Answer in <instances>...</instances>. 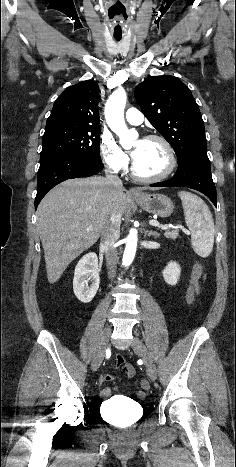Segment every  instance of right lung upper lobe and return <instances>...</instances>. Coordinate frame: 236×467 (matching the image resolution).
Returning <instances> with one entry per match:
<instances>
[{
    "instance_id": "right-lung-upper-lobe-1",
    "label": "right lung upper lobe",
    "mask_w": 236,
    "mask_h": 467,
    "mask_svg": "<svg viewBox=\"0 0 236 467\" xmlns=\"http://www.w3.org/2000/svg\"><path fill=\"white\" fill-rule=\"evenodd\" d=\"M99 86L87 80L66 88L56 99L45 128L70 125L99 127Z\"/></svg>"
}]
</instances>
